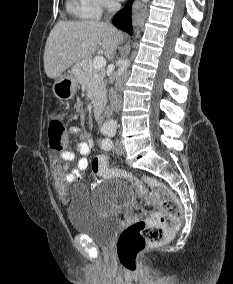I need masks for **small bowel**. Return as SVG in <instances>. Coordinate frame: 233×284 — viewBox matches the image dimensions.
<instances>
[{
  "label": "small bowel",
  "instance_id": "c3829d8e",
  "mask_svg": "<svg viewBox=\"0 0 233 284\" xmlns=\"http://www.w3.org/2000/svg\"><path fill=\"white\" fill-rule=\"evenodd\" d=\"M69 135L79 140L77 150L81 154V158L77 161L74 167L70 163L74 161L75 154L72 151H63L59 154V159L52 163V177L54 185L59 190H63L68 183H72L80 179L81 173L88 166L89 161L87 156L93 149V141L91 137L85 133L82 128L73 126L69 129Z\"/></svg>",
  "mask_w": 233,
  "mask_h": 284
}]
</instances>
